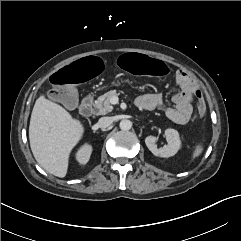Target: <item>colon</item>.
Returning <instances> with one entry per match:
<instances>
[{
	"instance_id": "1",
	"label": "colon",
	"mask_w": 241,
	"mask_h": 241,
	"mask_svg": "<svg viewBox=\"0 0 241 241\" xmlns=\"http://www.w3.org/2000/svg\"><path fill=\"white\" fill-rule=\"evenodd\" d=\"M106 61L102 55L93 53L73 61L64 69L53 71L47 76V89L52 90V98L65 109H74L80 103V94L76 87L83 86L86 81L97 78L103 71ZM119 67L124 72L137 73L151 79H167L173 75L174 68L170 62L151 59L144 53H124L119 58ZM198 97V112H205L204 101Z\"/></svg>"
}]
</instances>
